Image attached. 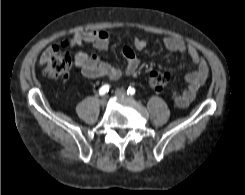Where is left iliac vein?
Returning a JSON list of instances; mask_svg holds the SVG:
<instances>
[{
    "instance_id": "4c4485c4",
    "label": "left iliac vein",
    "mask_w": 245,
    "mask_h": 195,
    "mask_svg": "<svg viewBox=\"0 0 245 195\" xmlns=\"http://www.w3.org/2000/svg\"><path fill=\"white\" fill-rule=\"evenodd\" d=\"M115 94H116V96H119V97H126V98H129V99H132L131 97L127 96V93H126V91L124 89H117L115 91Z\"/></svg>"
}]
</instances>
